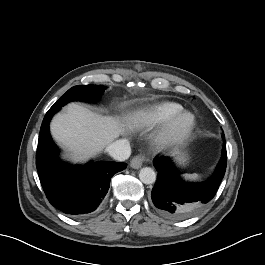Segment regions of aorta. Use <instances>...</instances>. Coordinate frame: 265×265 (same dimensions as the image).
Here are the masks:
<instances>
[{"label": "aorta", "mask_w": 265, "mask_h": 265, "mask_svg": "<svg viewBox=\"0 0 265 265\" xmlns=\"http://www.w3.org/2000/svg\"><path fill=\"white\" fill-rule=\"evenodd\" d=\"M139 179L144 184H153L156 181V173L150 167H144L140 170Z\"/></svg>", "instance_id": "obj_1"}]
</instances>
